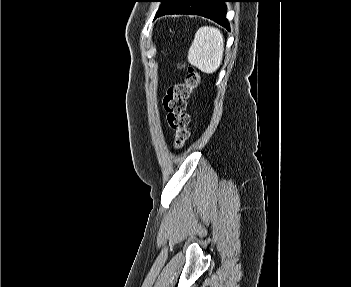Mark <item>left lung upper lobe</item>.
Here are the masks:
<instances>
[{"mask_svg":"<svg viewBox=\"0 0 351 287\" xmlns=\"http://www.w3.org/2000/svg\"><path fill=\"white\" fill-rule=\"evenodd\" d=\"M156 2H161V6L158 11L162 10L164 7H166L172 0H155Z\"/></svg>","mask_w":351,"mask_h":287,"instance_id":"left-lung-upper-lobe-1","label":"left lung upper lobe"}]
</instances>
